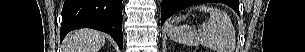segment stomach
<instances>
[{
  "label": "stomach",
  "mask_w": 305,
  "mask_h": 52,
  "mask_svg": "<svg viewBox=\"0 0 305 52\" xmlns=\"http://www.w3.org/2000/svg\"><path fill=\"white\" fill-rule=\"evenodd\" d=\"M183 19H185V16H176L175 18H174V20H173V22L175 21V22H181Z\"/></svg>",
  "instance_id": "0dacf381"
}]
</instances>
